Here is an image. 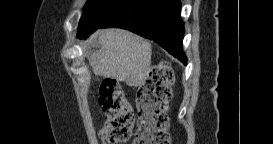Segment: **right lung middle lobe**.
Returning a JSON list of instances; mask_svg holds the SVG:
<instances>
[{
	"label": "right lung middle lobe",
	"instance_id": "1",
	"mask_svg": "<svg viewBox=\"0 0 273 144\" xmlns=\"http://www.w3.org/2000/svg\"><path fill=\"white\" fill-rule=\"evenodd\" d=\"M115 0H88L84 7V15L81 17L78 29V38L90 32L97 17Z\"/></svg>",
	"mask_w": 273,
	"mask_h": 144
}]
</instances>
